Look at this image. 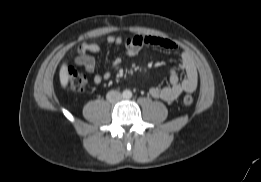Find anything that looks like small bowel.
I'll use <instances>...</instances> for the list:
<instances>
[{"mask_svg": "<svg viewBox=\"0 0 261 182\" xmlns=\"http://www.w3.org/2000/svg\"><path fill=\"white\" fill-rule=\"evenodd\" d=\"M103 43L124 47V53L127 57L136 56L144 47H158L168 51H178L181 61L173 66L169 72V84L164 87H152L150 95L170 102L178 98L183 92H193L198 85V72L192 55L185 49H182L174 41L161 36L154 35H136L127 39L121 37L108 36L102 40ZM90 54L103 55V49L100 43H82L77 49L75 62L81 66L86 72L93 73L96 69V60ZM122 58L116 57L110 68L103 72L97 73L93 77L96 85L108 80L112 73L121 65ZM184 71L183 79L179 78L178 71Z\"/></svg>", "mask_w": 261, "mask_h": 182, "instance_id": "c3829d8e", "label": "small bowel"}]
</instances>
